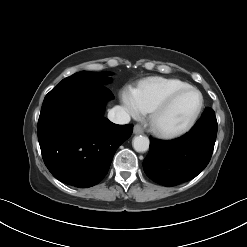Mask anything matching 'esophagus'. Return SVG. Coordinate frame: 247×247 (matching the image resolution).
<instances>
[{"mask_svg": "<svg viewBox=\"0 0 247 247\" xmlns=\"http://www.w3.org/2000/svg\"><path fill=\"white\" fill-rule=\"evenodd\" d=\"M143 132H144L143 128L139 124L134 126V133L135 134H142Z\"/></svg>", "mask_w": 247, "mask_h": 247, "instance_id": "1", "label": "esophagus"}]
</instances>
